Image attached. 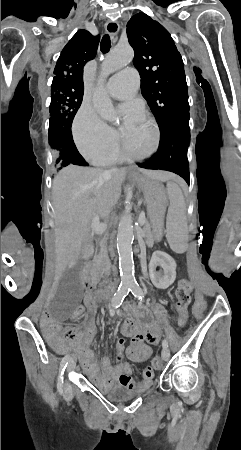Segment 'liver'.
I'll use <instances>...</instances> for the list:
<instances>
[{"mask_svg": "<svg viewBox=\"0 0 241 450\" xmlns=\"http://www.w3.org/2000/svg\"><path fill=\"white\" fill-rule=\"evenodd\" d=\"M150 180H177L175 174L160 170H139ZM128 174L123 170H98L67 166L55 176L52 200L55 208V282L78 260L93 254L89 246L91 224L96 218L109 220L110 212L121 196V186Z\"/></svg>", "mask_w": 241, "mask_h": 450, "instance_id": "liver-1", "label": "liver"}]
</instances>
